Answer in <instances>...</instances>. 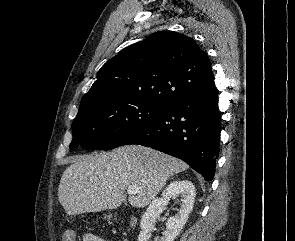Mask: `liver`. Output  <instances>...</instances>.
<instances>
[{
  "label": "liver",
  "mask_w": 295,
  "mask_h": 241,
  "mask_svg": "<svg viewBox=\"0 0 295 241\" xmlns=\"http://www.w3.org/2000/svg\"><path fill=\"white\" fill-rule=\"evenodd\" d=\"M188 165L172 156L142 146H123L112 152L79 156L63 172L58 200L66 214L115 209L131 186L140 187L129 203L146 207L174 174Z\"/></svg>",
  "instance_id": "1"
}]
</instances>
